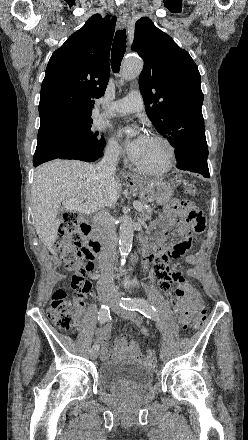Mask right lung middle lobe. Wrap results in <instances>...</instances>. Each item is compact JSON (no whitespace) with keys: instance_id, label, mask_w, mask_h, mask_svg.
I'll return each mask as SVG.
<instances>
[{"instance_id":"dd1d6c3e","label":"right lung middle lobe","mask_w":248,"mask_h":440,"mask_svg":"<svg viewBox=\"0 0 248 440\" xmlns=\"http://www.w3.org/2000/svg\"><path fill=\"white\" fill-rule=\"evenodd\" d=\"M92 120L69 125L53 131L38 133L36 151L56 154H100L105 146L102 136L91 128Z\"/></svg>"}]
</instances>
